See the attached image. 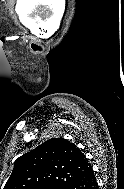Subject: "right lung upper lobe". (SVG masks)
Masks as SVG:
<instances>
[{"instance_id":"1","label":"right lung upper lobe","mask_w":124,"mask_h":189,"mask_svg":"<svg viewBox=\"0 0 124 189\" xmlns=\"http://www.w3.org/2000/svg\"><path fill=\"white\" fill-rule=\"evenodd\" d=\"M89 168L88 159L75 144L63 138L49 139L14 162L4 189L64 187Z\"/></svg>"}]
</instances>
